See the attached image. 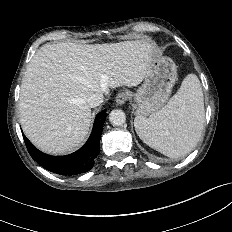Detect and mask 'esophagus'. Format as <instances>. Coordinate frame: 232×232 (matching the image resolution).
I'll list each match as a JSON object with an SVG mask.
<instances>
[{
    "instance_id": "1",
    "label": "esophagus",
    "mask_w": 232,
    "mask_h": 232,
    "mask_svg": "<svg viewBox=\"0 0 232 232\" xmlns=\"http://www.w3.org/2000/svg\"><path fill=\"white\" fill-rule=\"evenodd\" d=\"M128 100V93L126 92H120L119 94H117L116 96V103L118 105H123L126 103V101Z\"/></svg>"
}]
</instances>
